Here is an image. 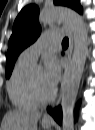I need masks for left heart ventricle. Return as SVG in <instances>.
Segmentation results:
<instances>
[{"instance_id":"b2bd125f","label":"left heart ventricle","mask_w":95,"mask_h":130,"mask_svg":"<svg viewBox=\"0 0 95 130\" xmlns=\"http://www.w3.org/2000/svg\"><path fill=\"white\" fill-rule=\"evenodd\" d=\"M34 82L42 96H48L53 89L50 88L44 81V74L42 71L36 72L33 75Z\"/></svg>"}]
</instances>
